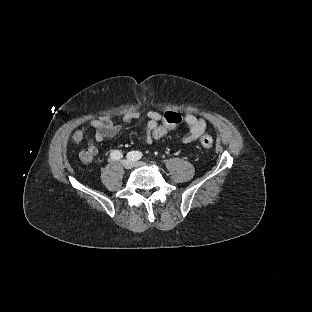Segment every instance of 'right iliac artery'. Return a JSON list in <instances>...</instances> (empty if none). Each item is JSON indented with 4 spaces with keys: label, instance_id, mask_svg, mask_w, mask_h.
<instances>
[{
    "label": "right iliac artery",
    "instance_id": "82829eb1",
    "mask_svg": "<svg viewBox=\"0 0 312 312\" xmlns=\"http://www.w3.org/2000/svg\"><path fill=\"white\" fill-rule=\"evenodd\" d=\"M122 156H123L122 153L120 151H118V150H114V151L111 152V158L112 159L118 160Z\"/></svg>",
    "mask_w": 312,
    "mask_h": 312
}]
</instances>
